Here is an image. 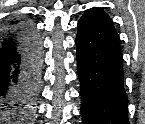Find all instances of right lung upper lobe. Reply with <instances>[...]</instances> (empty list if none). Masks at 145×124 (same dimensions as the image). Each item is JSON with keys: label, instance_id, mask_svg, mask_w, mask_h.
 I'll list each match as a JSON object with an SVG mask.
<instances>
[{"label": "right lung upper lobe", "instance_id": "right-lung-upper-lobe-1", "mask_svg": "<svg viewBox=\"0 0 145 124\" xmlns=\"http://www.w3.org/2000/svg\"><path fill=\"white\" fill-rule=\"evenodd\" d=\"M14 25H18V21H12L9 26H14Z\"/></svg>", "mask_w": 145, "mask_h": 124}]
</instances>
